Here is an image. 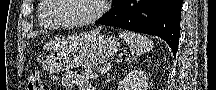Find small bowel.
<instances>
[{"label": "small bowel", "instance_id": "1", "mask_svg": "<svg viewBox=\"0 0 216 90\" xmlns=\"http://www.w3.org/2000/svg\"><path fill=\"white\" fill-rule=\"evenodd\" d=\"M63 90H71L77 88L78 90H93L91 84L81 79L79 73L75 70H69L64 73L62 77Z\"/></svg>", "mask_w": 216, "mask_h": 90}]
</instances>
